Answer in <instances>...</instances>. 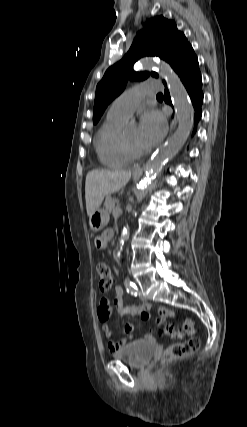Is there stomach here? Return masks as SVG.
Listing matches in <instances>:
<instances>
[{"label":"stomach","instance_id":"obj_1","mask_svg":"<svg viewBox=\"0 0 247 427\" xmlns=\"http://www.w3.org/2000/svg\"><path fill=\"white\" fill-rule=\"evenodd\" d=\"M109 221V213L103 209H97L90 217L89 224L94 232L102 230Z\"/></svg>","mask_w":247,"mask_h":427}]
</instances>
